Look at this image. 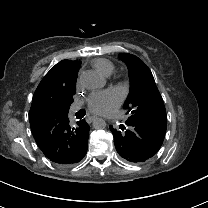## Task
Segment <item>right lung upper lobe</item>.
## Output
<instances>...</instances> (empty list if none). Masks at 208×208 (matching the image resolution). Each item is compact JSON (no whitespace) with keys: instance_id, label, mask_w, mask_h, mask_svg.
I'll list each match as a JSON object with an SVG mask.
<instances>
[{"instance_id":"obj_1","label":"right lung upper lobe","mask_w":208,"mask_h":208,"mask_svg":"<svg viewBox=\"0 0 208 208\" xmlns=\"http://www.w3.org/2000/svg\"><path fill=\"white\" fill-rule=\"evenodd\" d=\"M79 61L62 60L57 63L39 83L33 99L30 112H46L43 109L48 101L59 98L65 91L76 85Z\"/></svg>"}]
</instances>
